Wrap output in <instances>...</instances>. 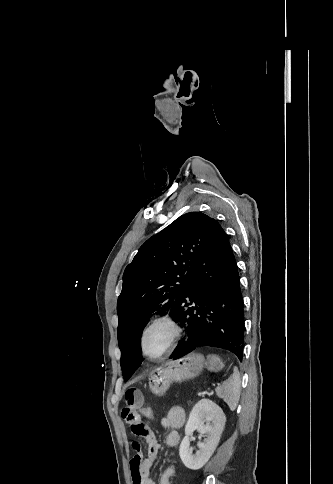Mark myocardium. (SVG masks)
Listing matches in <instances>:
<instances>
[{
    "label": "myocardium",
    "instance_id": "1",
    "mask_svg": "<svg viewBox=\"0 0 333 484\" xmlns=\"http://www.w3.org/2000/svg\"><path fill=\"white\" fill-rule=\"evenodd\" d=\"M163 325L166 326L170 333L169 336L161 348V350L156 354H150L146 350V338L148 333L156 326ZM182 335V327L177 319L169 314L159 315L151 320L143 329L141 337H140V351L141 354L148 360L157 361L162 359L165 355H167L172 348L176 345L178 340Z\"/></svg>",
    "mask_w": 333,
    "mask_h": 484
}]
</instances>
